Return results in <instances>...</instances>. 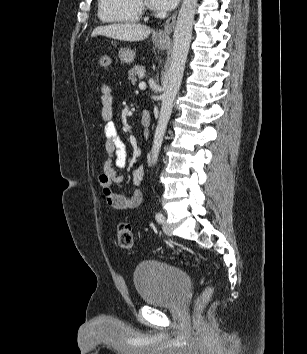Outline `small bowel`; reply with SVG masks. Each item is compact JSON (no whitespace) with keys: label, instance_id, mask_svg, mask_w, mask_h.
<instances>
[{"label":"small bowel","instance_id":"1","mask_svg":"<svg viewBox=\"0 0 307 354\" xmlns=\"http://www.w3.org/2000/svg\"><path fill=\"white\" fill-rule=\"evenodd\" d=\"M101 118L104 122V148L108 160L99 175V184L105 201L113 208L129 210L140 207L144 202V196L140 189L136 188L128 194H119L113 191L112 185L119 184L123 176L116 169H123L127 163V149L121 139L116 124L112 121L113 95L109 84L103 83L100 88ZM144 177V167L139 166L132 172L133 183L140 186Z\"/></svg>","mask_w":307,"mask_h":354}]
</instances>
